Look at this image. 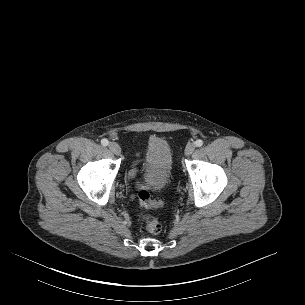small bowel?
Instances as JSON below:
<instances>
[{
  "mask_svg": "<svg viewBox=\"0 0 305 305\" xmlns=\"http://www.w3.org/2000/svg\"><path fill=\"white\" fill-rule=\"evenodd\" d=\"M138 158H140V155H138ZM133 175H134V172H130L128 174V179H131L133 177ZM137 187H141V183L140 182L137 183Z\"/></svg>",
  "mask_w": 305,
  "mask_h": 305,
  "instance_id": "c3829d8e",
  "label": "small bowel"
}]
</instances>
